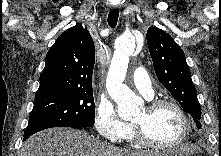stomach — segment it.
Returning a JSON list of instances; mask_svg holds the SVG:
<instances>
[{
  "mask_svg": "<svg viewBox=\"0 0 221 156\" xmlns=\"http://www.w3.org/2000/svg\"><path fill=\"white\" fill-rule=\"evenodd\" d=\"M183 148L184 146L178 147L168 152L159 153V155H156V156H188L189 154H186V152L183 151Z\"/></svg>",
  "mask_w": 221,
  "mask_h": 156,
  "instance_id": "0dacf381",
  "label": "stomach"
}]
</instances>
